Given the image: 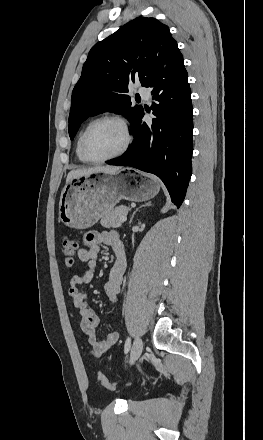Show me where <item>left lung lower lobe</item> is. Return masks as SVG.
<instances>
[{"mask_svg": "<svg viewBox=\"0 0 263 440\" xmlns=\"http://www.w3.org/2000/svg\"><path fill=\"white\" fill-rule=\"evenodd\" d=\"M152 88V123L135 119V137L129 150L109 165L131 166L157 175L166 185L172 202L179 208L191 178L193 153V109L188 75L177 48L147 86Z\"/></svg>", "mask_w": 263, "mask_h": 440, "instance_id": "obj_1", "label": "left lung lower lobe"}]
</instances>
